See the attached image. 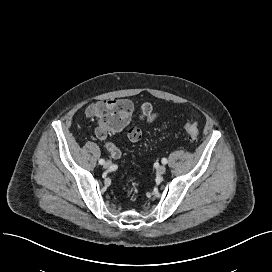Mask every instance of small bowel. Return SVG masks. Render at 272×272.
<instances>
[{
  "label": "small bowel",
  "instance_id": "c3829d8e",
  "mask_svg": "<svg viewBox=\"0 0 272 272\" xmlns=\"http://www.w3.org/2000/svg\"><path fill=\"white\" fill-rule=\"evenodd\" d=\"M103 106H113L116 107L122 115L127 117L128 122L132 112H133V103L129 99H110L107 101L94 102L88 106V114L90 116H97V110ZM158 117V112L155 111L152 105L148 102L143 103L141 106V120H144L147 124L153 123ZM106 136L101 139L104 141V148L110 154L113 159H120L122 156L121 149L116 146L114 143L105 140ZM129 140L133 143L138 142L140 139H133L128 136Z\"/></svg>",
  "mask_w": 272,
  "mask_h": 272
}]
</instances>
